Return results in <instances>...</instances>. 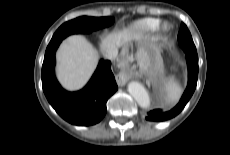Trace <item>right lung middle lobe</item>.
<instances>
[{"mask_svg": "<svg viewBox=\"0 0 230 155\" xmlns=\"http://www.w3.org/2000/svg\"><path fill=\"white\" fill-rule=\"evenodd\" d=\"M114 23L112 17H87L82 16L74 20L64 23L54 33L51 43L62 41L64 38L75 33H90L94 30H98L104 27H108Z\"/></svg>", "mask_w": 230, "mask_h": 155, "instance_id": "right-lung-middle-lobe-1", "label": "right lung middle lobe"}]
</instances>
